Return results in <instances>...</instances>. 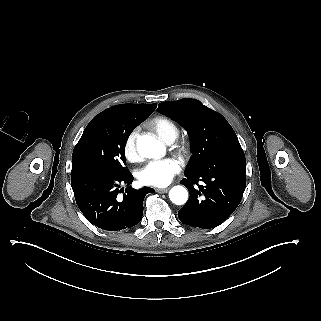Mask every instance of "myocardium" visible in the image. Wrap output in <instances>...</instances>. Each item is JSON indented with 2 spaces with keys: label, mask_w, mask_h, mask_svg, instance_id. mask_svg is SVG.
Listing matches in <instances>:
<instances>
[{
  "label": "myocardium",
  "mask_w": 321,
  "mask_h": 321,
  "mask_svg": "<svg viewBox=\"0 0 321 321\" xmlns=\"http://www.w3.org/2000/svg\"><path fill=\"white\" fill-rule=\"evenodd\" d=\"M181 152L183 154H186L187 153V144H184L182 147H181Z\"/></svg>",
  "instance_id": "myocardium-1"
}]
</instances>
